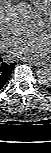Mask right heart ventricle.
<instances>
[{
    "mask_svg": "<svg viewBox=\"0 0 51 153\" xmlns=\"http://www.w3.org/2000/svg\"><path fill=\"white\" fill-rule=\"evenodd\" d=\"M33 5L36 7V9L46 14L51 10V0H30Z\"/></svg>",
    "mask_w": 51,
    "mask_h": 153,
    "instance_id": "right-heart-ventricle-1",
    "label": "right heart ventricle"
}]
</instances>
